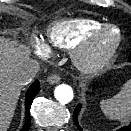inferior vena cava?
I'll return each instance as SVG.
<instances>
[{"instance_id": "1", "label": "inferior vena cava", "mask_w": 131, "mask_h": 131, "mask_svg": "<svg viewBox=\"0 0 131 131\" xmlns=\"http://www.w3.org/2000/svg\"><path fill=\"white\" fill-rule=\"evenodd\" d=\"M40 70V66L36 61L28 62L18 74V81L21 85L30 83Z\"/></svg>"}]
</instances>
